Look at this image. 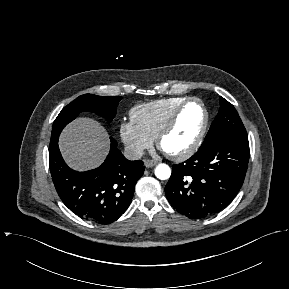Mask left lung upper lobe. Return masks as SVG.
I'll return each mask as SVG.
<instances>
[{
	"instance_id": "obj_1",
	"label": "left lung upper lobe",
	"mask_w": 289,
	"mask_h": 289,
	"mask_svg": "<svg viewBox=\"0 0 289 289\" xmlns=\"http://www.w3.org/2000/svg\"><path fill=\"white\" fill-rule=\"evenodd\" d=\"M220 109L213 121L205 140L221 133H233L247 136L246 129L234 106L223 97L219 98Z\"/></svg>"
}]
</instances>
